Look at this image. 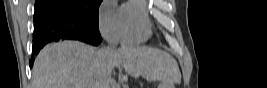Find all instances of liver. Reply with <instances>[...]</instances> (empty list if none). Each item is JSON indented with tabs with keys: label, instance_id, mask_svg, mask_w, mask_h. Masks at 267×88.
I'll return each instance as SVG.
<instances>
[{
	"label": "liver",
	"instance_id": "1",
	"mask_svg": "<svg viewBox=\"0 0 267 88\" xmlns=\"http://www.w3.org/2000/svg\"><path fill=\"white\" fill-rule=\"evenodd\" d=\"M116 67L121 81L130 75L172 86L180 82L177 62L159 49L129 46L96 50L79 41H63L47 45L36 57L33 88H112ZM122 67L125 76L121 74Z\"/></svg>",
	"mask_w": 267,
	"mask_h": 88
}]
</instances>
